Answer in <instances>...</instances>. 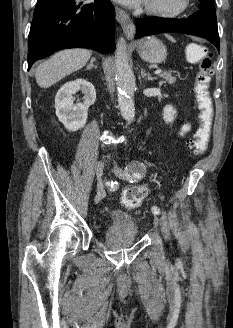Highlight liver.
<instances>
[{
    "mask_svg": "<svg viewBox=\"0 0 233 328\" xmlns=\"http://www.w3.org/2000/svg\"><path fill=\"white\" fill-rule=\"evenodd\" d=\"M91 55V51L87 49L59 51L36 68V82L42 88L50 87L65 76L85 66Z\"/></svg>",
    "mask_w": 233,
    "mask_h": 328,
    "instance_id": "1",
    "label": "liver"
}]
</instances>
